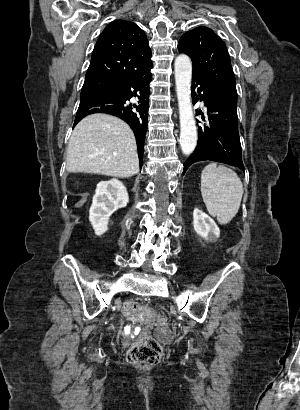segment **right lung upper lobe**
Wrapping results in <instances>:
<instances>
[{"label":"right lung upper lobe","mask_w":300,"mask_h":410,"mask_svg":"<svg viewBox=\"0 0 300 410\" xmlns=\"http://www.w3.org/2000/svg\"><path fill=\"white\" fill-rule=\"evenodd\" d=\"M151 56L144 31L133 22L115 20L100 34L85 82L112 86L126 76L143 74L152 68Z\"/></svg>","instance_id":"cb5924a9"}]
</instances>
